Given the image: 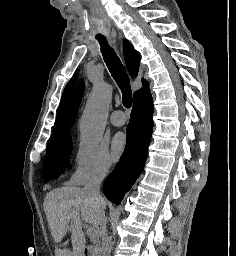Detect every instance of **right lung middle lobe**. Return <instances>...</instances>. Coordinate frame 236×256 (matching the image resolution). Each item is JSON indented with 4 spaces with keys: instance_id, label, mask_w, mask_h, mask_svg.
I'll list each match as a JSON object with an SVG mask.
<instances>
[{
    "instance_id": "1",
    "label": "right lung middle lobe",
    "mask_w": 236,
    "mask_h": 256,
    "mask_svg": "<svg viewBox=\"0 0 236 256\" xmlns=\"http://www.w3.org/2000/svg\"><path fill=\"white\" fill-rule=\"evenodd\" d=\"M72 151V140L70 136L60 140L48 142L44 158L45 182L60 175L64 167L69 166V158Z\"/></svg>"
}]
</instances>
